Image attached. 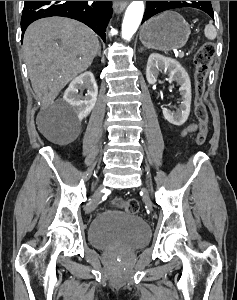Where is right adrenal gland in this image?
Returning a JSON list of instances; mask_svg holds the SVG:
<instances>
[{"mask_svg": "<svg viewBox=\"0 0 237 300\" xmlns=\"http://www.w3.org/2000/svg\"><path fill=\"white\" fill-rule=\"evenodd\" d=\"M97 55L98 57H101V47H99Z\"/></svg>", "mask_w": 237, "mask_h": 300, "instance_id": "obj_1", "label": "right adrenal gland"}]
</instances>
